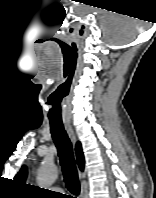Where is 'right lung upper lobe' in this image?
<instances>
[{
  "label": "right lung upper lobe",
  "mask_w": 156,
  "mask_h": 198,
  "mask_svg": "<svg viewBox=\"0 0 156 198\" xmlns=\"http://www.w3.org/2000/svg\"><path fill=\"white\" fill-rule=\"evenodd\" d=\"M76 156H77V161H78L79 168L81 170H83V168H84V155H83V152H82V146H81L80 142H77V144H76Z\"/></svg>",
  "instance_id": "obj_1"
}]
</instances>
